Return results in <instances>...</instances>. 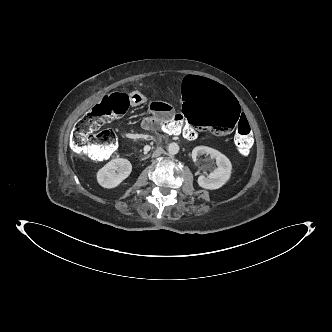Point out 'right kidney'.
I'll return each mask as SVG.
<instances>
[{
    "instance_id": "right-kidney-1",
    "label": "right kidney",
    "mask_w": 332,
    "mask_h": 332,
    "mask_svg": "<svg viewBox=\"0 0 332 332\" xmlns=\"http://www.w3.org/2000/svg\"><path fill=\"white\" fill-rule=\"evenodd\" d=\"M131 171L132 164L128 159L115 158L98 170L97 182L103 188H115L130 175Z\"/></svg>"
}]
</instances>
